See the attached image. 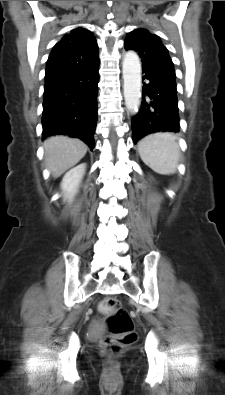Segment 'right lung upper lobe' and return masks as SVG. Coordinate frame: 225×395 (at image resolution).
<instances>
[{"mask_svg": "<svg viewBox=\"0 0 225 395\" xmlns=\"http://www.w3.org/2000/svg\"><path fill=\"white\" fill-rule=\"evenodd\" d=\"M98 59V45L92 33L84 28L73 29L53 47L47 60L45 80L84 69Z\"/></svg>", "mask_w": 225, "mask_h": 395, "instance_id": "cb5924a9", "label": "right lung upper lobe"}]
</instances>
